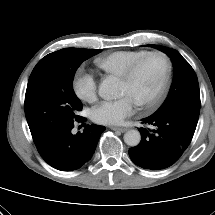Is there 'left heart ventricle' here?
<instances>
[{"label": "left heart ventricle", "mask_w": 215, "mask_h": 215, "mask_svg": "<svg viewBox=\"0 0 215 215\" xmlns=\"http://www.w3.org/2000/svg\"><path fill=\"white\" fill-rule=\"evenodd\" d=\"M165 64L162 58L152 56L144 60L133 78L119 83V95H129L140 103L150 99L157 91L164 75Z\"/></svg>", "instance_id": "1"}]
</instances>
